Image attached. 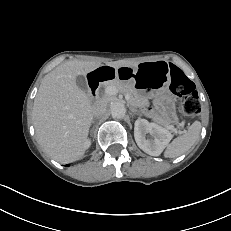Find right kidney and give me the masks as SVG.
<instances>
[{
    "label": "right kidney",
    "instance_id": "1",
    "mask_svg": "<svg viewBox=\"0 0 231 231\" xmlns=\"http://www.w3.org/2000/svg\"><path fill=\"white\" fill-rule=\"evenodd\" d=\"M89 145H90V141H87V145H86V147L88 148V147H89Z\"/></svg>",
    "mask_w": 231,
    "mask_h": 231
}]
</instances>
